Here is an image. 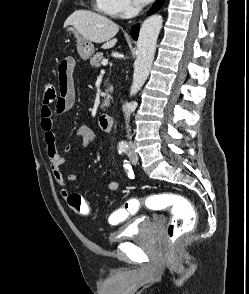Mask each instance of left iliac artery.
<instances>
[{
    "mask_svg": "<svg viewBox=\"0 0 249 294\" xmlns=\"http://www.w3.org/2000/svg\"><path fill=\"white\" fill-rule=\"evenodd\" d=\"M123 166H124L125 170L127 171L128 176L130 178H134V174H133L132 168H131L130 164H128L127 160L124 161V165Z\"/></svg>",
    "mask_w": 249,
    "mask_h": 294,
    "instance_id": "left-iliac-artery-1",
    "label": "left iliac artery"
}]
</instances>
